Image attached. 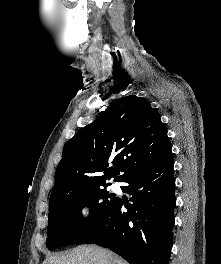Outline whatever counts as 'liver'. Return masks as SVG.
<instances>
[{
    "instance_id": "liver-1",
    "label": "liver",
    "mask_w": 221,
    "mask_h": 264,
    "mask_svg": "<svg viewBox=\"0 0 221 264\" xmlns=\"http://www.w3.org/2000/svg\"><path fill=\"white\" fill-rule=\"evenodd\" d=\"M42 264H128L118 255L97 246H78L66 254L48 256Z\"/></svg>"
}]
</instances>
